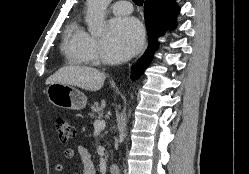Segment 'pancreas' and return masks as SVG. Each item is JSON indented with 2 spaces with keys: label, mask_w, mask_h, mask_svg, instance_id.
I'll list each match as a JSON object with an SVG mask.
<instances>
[{
  "label": "pancreas",
  "mask_w": 249,
  "mask_h": 174,
  "mask_svg": "<svg viewBox=\"0 0 249 174\" xmlns=\"http://www.w3.org/2000/svg\"><path fill=\"white\" fill-rule=\"evenodd\" d=\"M101 117L103 115V108L102 106H99V104L97 102L93 103L91 105V111L89 113V117Z\"/></svg>",
  "instance_id": "cf45deb5"
}]
</instances>
